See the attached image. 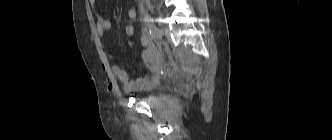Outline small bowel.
Masks as SVG:
<instances>
[{
  "label": "small bowel",
  "instance_id": "c3829d8e",
  "mask_svg": "<svg viewBox=\"0 0 332 140\" xmlns=\"http://www.w3.org/2000/svg\"><path fill=\"white\" fill-rule=\"evenodd\" d=\"M90 6L96 17V30L98 35L103 38L105 34L111 30L112 22L108 18H104L96 9V0H89ZM129 18L133 19L136 17V10L129 8L127 10ZM141 43L145 47L142 58L146 63H150L153 58V51L149 46V38L146 35L141 37ZM131 44V42H129ZM112 73L116 79L123 84V89L126 93H133L136 91L143 90L146 84L151 80L149 77L139 78L136 80H129L127 72L118 64L111 66Z\"/></svg>",
  "mask_w": 332,
  "mask_h": 140
}]
</instances>
